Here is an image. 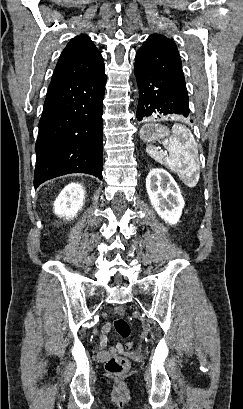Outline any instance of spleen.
<instances>
[{
	"mask_svg": "<svg viewBox=\"0 0 243 409\" xmlns=\"http://www.w3.org/2000/svg\"><path fill=\"white\" fill-rule=\"evenodd\" d=\"M163 144L169 156L161 153L154 146H148L146 151L155 161L165 165L172 172H176L188 187L196 186L200 177V165L192 132L183 125L174 124L172 135Z\"/></svg>",
	"mask_w": 243,
	"mask_h": 409,
	"instance_id": "1",
	"label": "spleen"
}]
</instances>
